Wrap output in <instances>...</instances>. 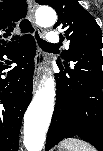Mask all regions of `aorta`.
I'll list each match as a JSON object with an SVG mask.
<instances>
[{"mask_svg": "<svg viewBox=\"0 0 103 151\" xmlns=\"http://www.w3.org/2000/svg\"><path fill=\"white\" fill-rule=\"evenodd\" d=\"M36 22L43 27L52 26L57 21L56 12L49 7H40L35 13ZM55 101V82L53 77L46 79L30 103L24 116L23 143L27 151H41L46 140Z\"/></svg>", "mask_w": 103, "mask_h": 151, "instance_id": "762f6f07", "label": "aorta"}]
</instances>
